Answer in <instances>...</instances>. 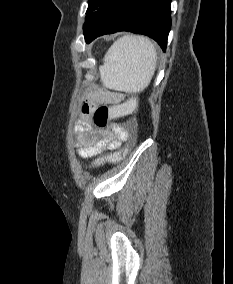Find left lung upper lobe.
<instances>
[{
	"instance_id": "left-lung-upper-lobe-1",
	"label": "left lung upper lobe",
	"mask_w": 233,
	"mask_h": 284,
	"mask_svg": "<svg viewBox=\"0 0 233 284\" xmlns=\"http://www.w3.org/2000/svg\"><path fill=\"white\" fill-rule=\"evenodd\" d=\"M104 0H88V9H87V16L85 18V23L83 25L84 35L89 31L92 26L95 12L98 7L102 4Z\"/></svg>"
}]
</instances>
